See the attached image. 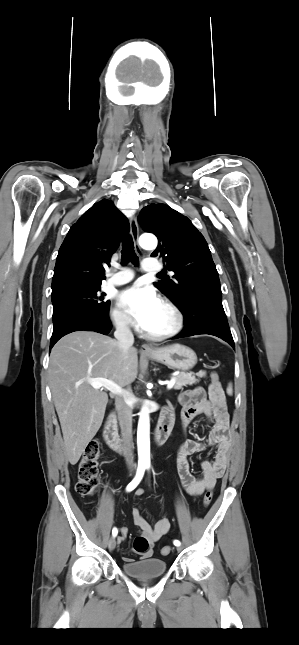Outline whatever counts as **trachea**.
I'll use <instances>...</instances> for the list:
<instances>
[{"instance_id": "1", "label": "trachea", "mask_w": 299, "mask_h": 645, "mask_svg": "<svg viewBox=\"0 0 299 645\" xmlns=\"http://www.w3.org/2000/svg\"><path fill=\"white\" fill-rule=\"evenodd\" d=\"M121 254L122 265H126L128 262H132L134 265L138 264V257L134 251V244L130 235L123 237Z\"/></svg>"}]
</instances>
